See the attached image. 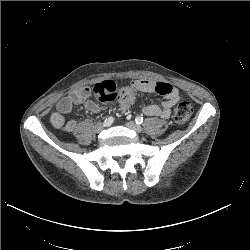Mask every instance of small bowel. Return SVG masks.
<instances>
[{
    "mask_svg": "<svg viewBox=\"0 0 250 250\" xmlns=\"http://www.w3.org/2000/svg\"><path fill=\"white\" fill-rule=\"evenodd\" d=\"M130 88L137 92H156L163 96L161 107L148 105L143 108L147 116L167 119L171 115V109L180 99L179 90L167 82L137 79L130 83ZM91 89L88 87L73 91L62 98L56 105V111L51 114L50 121L55 128L64 132H72L76 127V120H65L64 115L69 113L75 105L82 106L86 111L97 113L100 108L89 99Z\"/></svg>",
    "mask_w": 250,
    "mask_h": 250,
    "instance_id": "1",
    "label": "small bowel"
}]
</instances>
